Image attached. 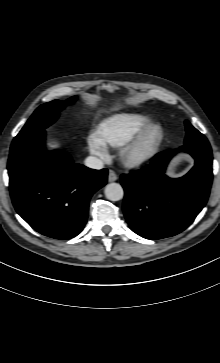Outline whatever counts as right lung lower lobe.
<instances>
[{
  "instance_id": "right-lung-lower-lobe-1",
  "label": "right lung lower lobe",
  "mask_w": 220,
  "mask_h": 363,
  "mask_svg": "<svg viewBox=\"0 0 220 363\" xmlns=\"http://www.w3.org/2000/svg\"><path fill=\"white\" fill-rule=\"evenodd\" d=\"M45 131L11 147L9 186L18 214L39 233L70 239L86 224L89 200L106 184L107 169L72 162L62 151L44 149Z\"/></svg>"
}]
</instances>
